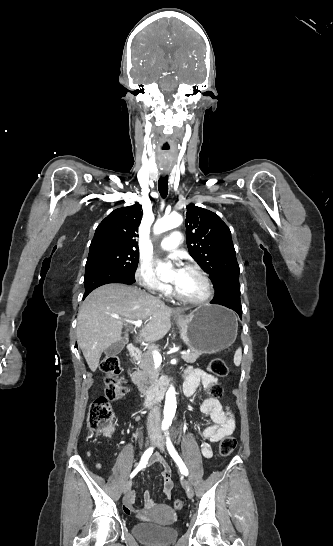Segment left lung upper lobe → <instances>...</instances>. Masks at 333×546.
I'll use <instances>...</instances> for the list:
<instances>
[{"label":"left lung upper lobe","mask_w":333,"mask_h":546,"mask_svg":"<svg viewBox=\"0 0 333 546\" xmlns=\"http://www.w3.org/2000/svg\"><path fill=\"white\" fill-rule=\"evenodd\" d=\"M186 236L190 255L209 274L216 293L224 285L239 281L231 232L217 214L189 204Z\"/></svg>","instance_id":"1"}]
</instances>
